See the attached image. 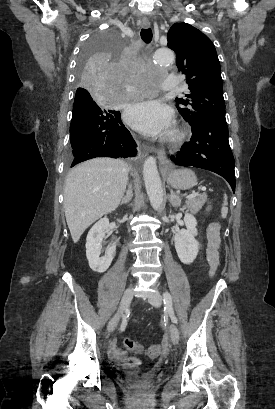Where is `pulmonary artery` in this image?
<instances>
[{"label":"pulmonary artery","instance_id":"obj_1","mask_svg":"<svg viewBox=\"0 0 275 409\" xmlns=\"http://www.w3.org/2000/svg\"><path fill=\"white\" fill-rule=\"evenodd\" d=\"M176 79H177V78H176L175 75L169 74V75L167 76V78L164 79V81H163V86H164V88H176L177 85H178V82H177ZM127 93H128V94L134 93V87L129 86V87H128V90H127Z\"/></svg>","mask_w":275,"mask_h":409}]
</instances>
